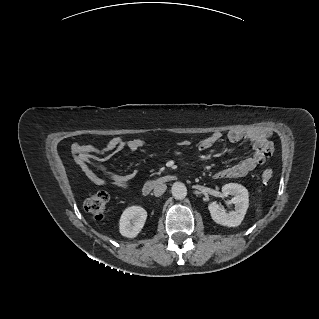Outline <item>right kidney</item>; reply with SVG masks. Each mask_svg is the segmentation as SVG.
Listing matches in <instances>:
<instances>
[{"mask_svg":"<svg viewBox=\"0 0 319 319\" xmlns=\"http://www.w3.org/2000/svg\"><path fill=\"white\" fill-rule=\"evenodd\" d=\"M147 212L140 206H131L124 210L119 221V231L127 238L136 237L142 230Z\"/></svg>","mask_w":319,"mask_h":319,"instance_id":"1","label":"right kidney"}]
</instances>
